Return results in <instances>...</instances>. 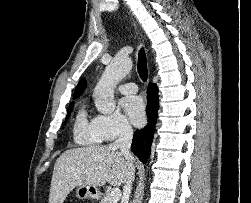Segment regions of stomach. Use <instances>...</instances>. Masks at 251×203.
I'll return each mask as SVG.
<instances>
[{
  "instance_id": "0dacf381",
  "label": "stomach",
  "mask_w": 251,
  "mask_h": 203,
  "mask_svg": "<svg viewBox=\"0 0 251 203\" xmlns=\"http://www.w3.org/2000/svg\"><path fill=\"white\" fill-rule=\"evenodd\" d=\"M99 194L98 189L94 186L81 185L76 189V196L81 199L95 198Z\"/></svg>"
}]
</instances>
